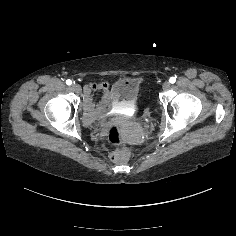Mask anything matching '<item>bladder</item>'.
Listing matches in <instances>:
<instances>
[{"instance_id": "1", "label": "bladder", "mask_w": 236, "mask_h": 236, "mask_svg": "<svg viewBox=\"0 0 236 236\" xmlns=\"http://www.w3.org/2000/svg\"><path fill=\"white\" fill-rule=\"evenodd\" d=\"M109 95L117 101L133 102L139 95V84L130 77L119 78L113 83Z\"/></svg>"}]
</instances>
